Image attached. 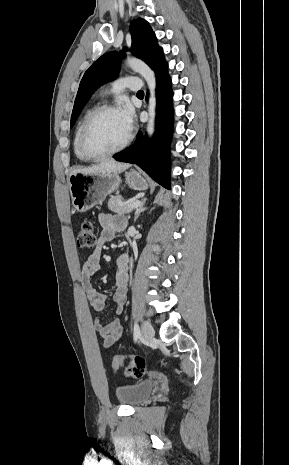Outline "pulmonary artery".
<instances>
[{"label": "pulmonary artery", "instance_id": "1", "mask_svg": "<svg viewBox=\"0 0 289 465\" xmlns=\"http://www.w3.org/2000/svg\"><path fill=\"white\" fill-rule=\"evenodd\" d=\"M141 80L135 76H125L112 82L109 87V93H120L126 89L139 91L141 89Z\"/></svg>", "mask_w": 289, "mask_h": 465}]
</instances>
